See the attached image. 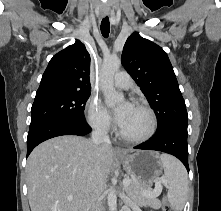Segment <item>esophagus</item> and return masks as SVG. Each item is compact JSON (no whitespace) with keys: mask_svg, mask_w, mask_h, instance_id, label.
Instances as JSON below:
<instances>
[{"mask_svg":"<svg viewBox=\"0 0 221 211\" xmlns=\"http://www.w3.org/2000/svg\"><path fill=\"white\" fill-rule=\"evenodd\" d=\"M109 14V10L108 9H103L102 10V15L103 16H107ZM115 153L117 154H122L123 153V149L121 147H115L114 148Z\"/></svg>","mask_w":221,"mask_h":211,"instance_id":"obj_1","label":"esophagus"}]
</instances>
